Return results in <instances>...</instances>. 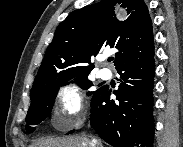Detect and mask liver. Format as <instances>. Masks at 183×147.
Returning <instances> with one entry per match:
<instances>
[{"mask_svg": "<svg viewBox=\"0 0 183 147\" xmlns=\"http://www.w3.org/2000/svg\"><path fill=\"white\" fill-rule=\"evenodd\" d=\"M90 140L83 137L47 138L36 141L31 147H91Z\"/></svg>", "mask_w": 183, "mask_h": 147, "instance_id": "obj_1", "label": "liver"}]
</instances>
